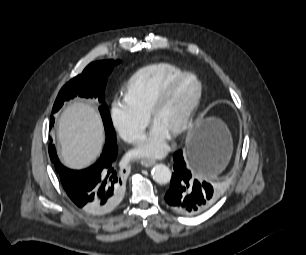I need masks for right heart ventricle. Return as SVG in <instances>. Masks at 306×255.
Here are the masks:
<instances>
[{
    "label": "right heart ventricle",
    "mask_w": 306,
    "mask_h": 255,
    "mask_svg": "<svg viewBox=\"0 0 306 255\" xmlns=\"http://www.w3.org/2000/svg\"><path fill=\"white\" fill-rule=\"evenodd\" d=\"M183 73L185 71L170 63L144 66L127 81L124 88V99L135 110L147 116L156 97L170 82Z\"/></svg>",
    "instance_id": "e07e8e85"
}]
</instances>
